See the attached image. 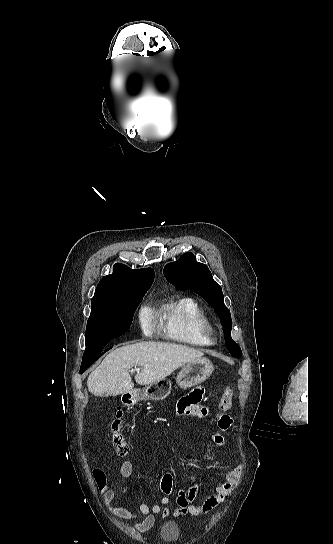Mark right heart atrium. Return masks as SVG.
<instances>
[{"mask_svg":"<svg viewBox=\"0 0 333 544\" xmlns=\"http://www.w3.org/2000/svg\"><path fill=\"white\" fill-rule=\"evenodd\" d=\"M140 322H141L142 328H143L145 331H148V330L150 329V326H151V317H150L149 312H148L146 309H143V310L140 312Z\"/></svg>","mask_w":333,"mask_h":544,"instance_id":"right-heart-atrium-1","label":"right heart atrium"}]
</instances>
